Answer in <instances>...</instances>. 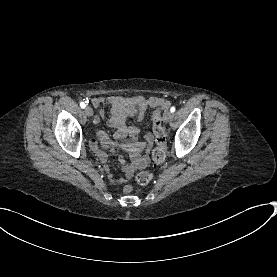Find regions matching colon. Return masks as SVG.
I'll return each mask as SVG.
<instances>
[{
	"label": "colon",
	"instance_id": "1",
	"mask_svg": "<svg viewBox=\"0 0 277 277\" xmlns=\"http://www.w3.org/2000/svg\"><path fill=\"white\" fill-rule=\"evenodd\" d=\"M153 122H154L156 148L153 152L152 159L156 165H159L162 163L165 156L166 136L162 127V119L158 113L154 114ZM153 178H154V175L151 172H142L137 175L136 181L139 184L145 185L151 182Z\"/></svg>",
	"mask_w": 277,
	"mask_h": 277
}]
</instances>
